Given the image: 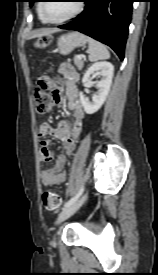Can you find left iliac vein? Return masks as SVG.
Listing matches in <instances>:
<instances>
[{
    "instance_id": "obj_1",
    "label": "left iliac vein",
    "mask_w": 158,
    "mask_h": 275,
    "mask_svg": "<svg viewBox=\"0 0 158 275\" xmlns=\"http://www.w3.org/2000/svg\"><path fill=\"white\" fill-rule=\"evenodd\" d=\"M85 199L86 195H83L79 200L63 209V211L58 216L57 222L60 223L73 215L82 206Z\"/></svg>"
}]
</instances>
